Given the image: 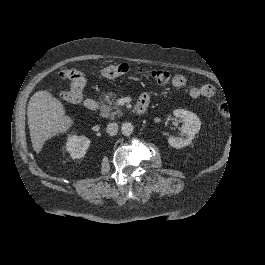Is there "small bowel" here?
I'll use <instances>...</instances> for the list:
<instances>
[{"label":"small bowel","mask_w":265,"mask_h":265,"mask_svg":"<svg viewBox=\"0 0 265 265\" xmlns=\"http://www.w3.org/2000/svg\"><path fill=\"white\" fill-rule=\"evenodd\" d=\"M187 80L185 76L178 74L173 77L172 84L177 88L185 87ZM215 93V88L211 84H203L200 86H193L189 89V96L193 99L200 97H212ZM151 100V95L149 93H143L140 96L139 102L144 103L148 106Z\"/></svg>","instance_id":"c3829d8e"}]
</instances>
